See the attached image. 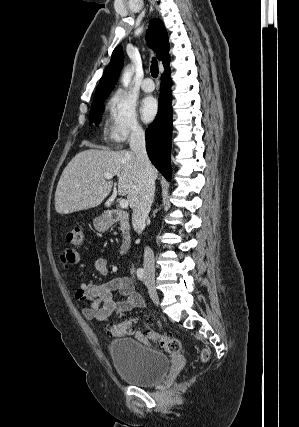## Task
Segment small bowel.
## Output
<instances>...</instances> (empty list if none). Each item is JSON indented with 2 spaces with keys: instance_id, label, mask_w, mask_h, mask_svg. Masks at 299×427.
Listing matches in <instances>:
<instances>
[{
  "instance_id": "small-bowel-1",
  "label": "small bowel",
  "mask_w": 299,
  "mask_h": 427,
  "mask_svg": "<svg viewBox=\"0 0 299 427\" xmlns=\"http://www.w3.org/2000/svg\"><path fill=\"white\" fill-rule=\"evenodd\" d=\"M61 262L66 270L74 269L80 262V255L73 249H65L61 255ZM95 268L101 275L108 273V261L99 257L95 261ZM114 293L121 299H115ZM77 301L86 302L87 306L81 309L86 320H97L107 323L115 314L141 308L144 301L135 291L133 281L128 277H115L105 283H88L81 281L74 293ZM137 338L147 340L142 331H137Z\"/></svg>"
}]
</instances>
